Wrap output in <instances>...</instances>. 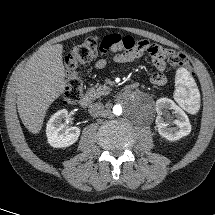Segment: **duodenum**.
I'll return each instance as SVG.
<instances>
[{
    "label": "duodenum",
    "instance_id": "duodenum-1",
    "mask_svg": "<svg viewBox=\"0 0 215 215\" xmlns=\"http://www.w3.org/2000/svg\"><path fill=\"white\" fill-rule=\"evenodd\" d=\"M136 88V84H131L125 88V92H129ZM93 101V97L90 94H85L81 99H80V106L83 108L88 107Z\"/></svg>",
    "mask_w": 215,
    "mask_h": 215
}]
</instances>
